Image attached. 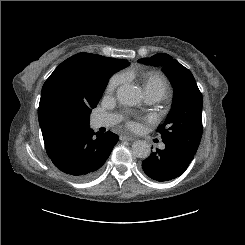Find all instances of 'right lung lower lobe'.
<instances>
[{
  "mask_svg": "<svg viewBox=\"0 0 245 245\" xmlns=\"http://www.w3.org/2000/svg\"><path fill=\"white\" fill-rule=\"evenodd\" d=\"M90 127L73 135L48 156L62 172L77 181L97 175L109 157L118 136L111 132L96 134Z\"/></svg>",
  "mask_w": 245,
  "mask_h": 245,
  "instance_id": "1",
  "label": "right lung lower lobe"
}]
</instances>
